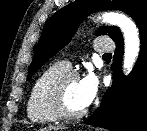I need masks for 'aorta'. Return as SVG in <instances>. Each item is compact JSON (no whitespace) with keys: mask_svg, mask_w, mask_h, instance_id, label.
I'll list each match as a JSON object with an SVG mask.
<instances>
[{"mask_svg":"<svg viewBox=\"0 0 147 131\" xmlns=\"http://www.w3.org/2000/svg\"><path fill=\"white\" fill-rule=\"evenodd\" d=\"M102 19L104 22L116 25L122 30L125 43L123 68L126 73H129L137 60L140 50L138 29L135 23L123 14L105 13L102 15Z\"/></svg>","mask_w":147,"mask_h":131,"instance_id":"762f6f07","label":"aorta"}]
</instances>
